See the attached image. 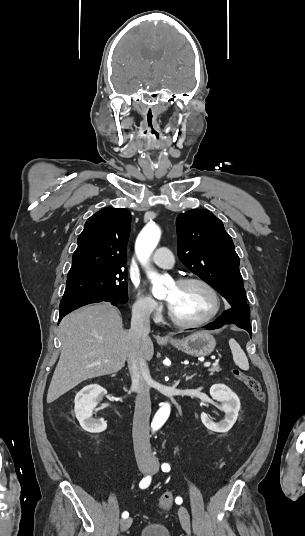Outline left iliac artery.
Masks as SVG:
<instances>
[{"mask_svg": "<svg viewBox=\"0 0 305 536\" xmlns=\"http://www.w3.org/2000/svg\"><path fill=\"white\" fill-rule=\"evenodd\" d=\"M161 468H162V471H164V472H169V471H170V466H169V464H167V463H163L162 466H161ZM175 502H176L177 504H181V503H182V498H181V497H177L176 500H175Z\"/></svg>", "mask_w": 305, "mask_h": 536, "instance_id": "44dca946", "label": "left iliac artery"}]
</instances>
